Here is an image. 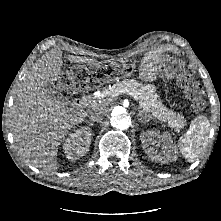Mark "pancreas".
<instances>
[{"instance_id": "obj_1", "label": "pancreas", "mask_w": 221, "mask_h": 221, "mask_svg": "<svg viewBox=\"0 0 221 221\" xmlns=\"http://www.w3.org/2000/svg\"><path fill=\"white\" fill-rule=\"evenodd\" d=\"M136 96L141 107L148 109L152 116L160 122L167 124L170 128L179 131L185 126L184 117L164 106L159 96L155 93L154 87L139 83L133 79L123 80L106 88L98 96V99L118 96L121 92Z\"/></svg>"}]
</instances>
